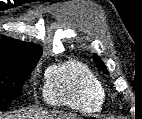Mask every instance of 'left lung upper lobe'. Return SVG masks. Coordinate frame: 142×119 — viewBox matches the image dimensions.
Segmentation results:
<instances>
[{"label": "left lung upper lobe", "instance_id": "1", "mask_svg": "<svg viewBox=\"0 0 142 119\" xmlns=\"http://www.w3.org/2000/svg\"><path fill=\"white\" fill-rule=\"evenodd\" d=\"M93 58H94L96 65L99 67V69L102 70L104 73L109 74L108 70L106 69V67H105L103 61L100 59V57L97 56L96 54H94Z\"/></svg>", "mask_w": 142, "mask_h": 119}]
</instances>
